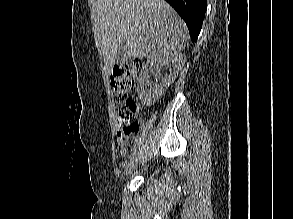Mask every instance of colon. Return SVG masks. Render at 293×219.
<instances>
[{"mask_svg": "<svg viewBox=\"0 0 293 219\" xmlns=\"http://www.w3.org/2000/svg\"><path fill=\"white\" fill-rule=\"evenodd\" d=\"M140 68L141 62L133 60L115 67L111 75L112 96L119 105L118 128L125 135L136 133L141 127V122L137 120L139 104L133 97Z\"/></svg>", "mask_w": 293, "mask_h": 219, "instance_id": "1", "label": "colon"}]
</instances>
